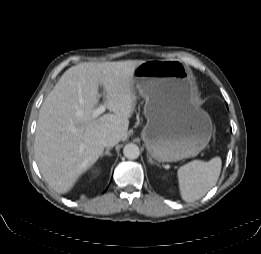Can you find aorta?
<instances>
[{
	"mask_svg": "<svg viewBox=\"0 0 261 254\" xmlns=\"http://www.w3.org/2000/svg\"><path fill=\"white\" fill-rule=\"evenodd\" d=\"M123 154L128 159H137L140 155L139 147L134 143L125 145Z\"/></svg>",
	"mask_w": 261,
	"mask_h": 254,
	"instance_id": "aorta-1",
	"label": "aorta"
}]
</instances>
